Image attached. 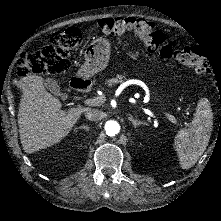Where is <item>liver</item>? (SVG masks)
<instances>
[{
  "label": "liver",
  "mask_w": 221,
  "mask_h": 221,
  "mask_svg": "<svg viewBox=\"0 0 221 221\" xmlns=\"http://www.w3.org/2000/svg\"><path fill=\"white\" fill-rule=\"evenodd\" d=\"M17 86L23 92L18 111L20 140L23 150L29 154L60 142L89 109L61 110L60 100L46 91L40 76L22 79Z\"/></svg>",
  "instance_id": "liver-1"
}]
</instances>
